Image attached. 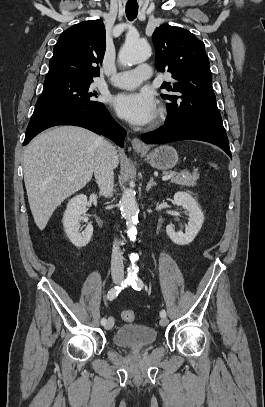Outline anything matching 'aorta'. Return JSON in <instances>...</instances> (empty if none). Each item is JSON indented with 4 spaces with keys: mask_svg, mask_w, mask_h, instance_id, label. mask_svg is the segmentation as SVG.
I'll return each mask as SVG.
<instances>
[{
    "mask_svg": "<svg viewBox=\"0 0 265 407\" xmlns=\"http://www.w3.org/2000/svg\"><path fill=\"white\" fill-rule=\"evenodd\" d=\"M151 55V47L149 44L139 40L127 38L121 48L118 59L123 65H133L146 61ZM121 211L126 220L128 234L135 236L136 223L138 218L139 208L136 202L135 195L131 189H125L120 201ZM130 273H136L137 267L133 265L128 269Z\"/></svg>",
    "mask_w": 265,
    "mask_h": 407,
    "instance_id": "762f6f07",
    "label": "aorta"
}]
</instances>
